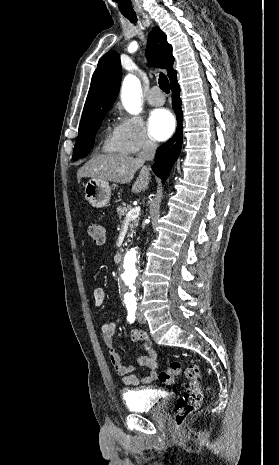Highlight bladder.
Returning a JSON list of instances; mask_svg holds the SVG:
<instances>
[{"mask_svg": "<svg viewBox=\"0 0 279 465\" xmlns=\"http://www.w3.org/2000/svg\"><path fill=\"white\" fill-rule=\"evenodd\" d=\"M123 400L131 412L162 413L167 408L169 395L149 388H134L123 391Z\"/></svg>", "mask_w": 279, "mask_h": 465, "instance_id": "31cf9c89", "label": "bladder"}]
</instances>
